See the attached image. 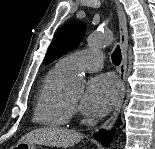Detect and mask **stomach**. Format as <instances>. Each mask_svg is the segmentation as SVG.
Returning <instances> with one entry per match:
<instances>
[{"mask_svg": "<svg viewBox=\"0 0 155 149\" xmlns=\"http://www.w3.org/2000/svg\"><path fill=\"white\" fill-rule=\"evenodd\" d=\"M13 148L16 149H37L32 143H17Z\"/></svg>", "mask_w": 155, "mask_h": 149, "instance_id": "0dacf381", "label": "stomach"}]
</instances>
